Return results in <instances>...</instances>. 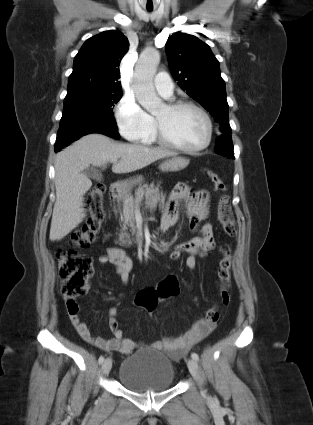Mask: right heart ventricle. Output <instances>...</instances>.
<instances>
[{"mask_svg":"<svg viewBox=\"0 0 313 425\" xmlns=\"http://www.w3.org/2000/svg\"><path fill=\"white\" fill-rule=\"evenodd\" d=\"M144 144H153L155 142V137L150 135L147 139L142 141Z\"/></svg>","mask_w":313,"mask_h":425,"instance_id":"e07e8e85","label":"right heart ventricle"}]
</instances>
